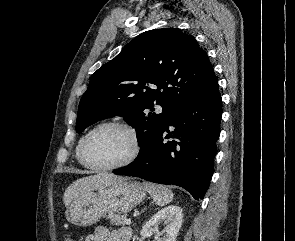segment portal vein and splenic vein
I'll return each mask as SVG.
<instances>
[{"label":"portal vein and splenic vein","mask_w":295,"mask_h":241,"mask_svg":"<svg viewBox=\"0 0 295 241\" xmlns=\"http://www.w3.org/2000/svg\"><path fill=\"white\" fill-rule=\"evenodd\" d=\"M124 223L127 224V225H130L131 224V220L130 219H125L124 220Z\"/></svg>","instance_id":"18ae733b"}]
</instances>
